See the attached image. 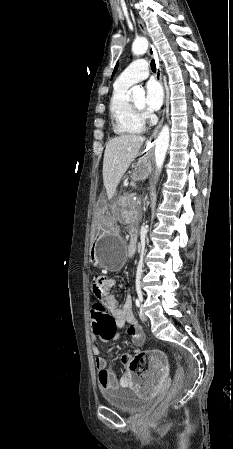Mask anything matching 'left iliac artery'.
I'll use <instances>...</instances> for the list:
<instances>
[{
    "label": "left iliac artery",
    "instance_id": "1",
    "mask_svg": "<svg viewBox=\"0 0 233 449\" xmlns=\"http://www.w3.org/2000/svg\"><path fill=\"white\" fill-rule=\"evenodd\" d=\"M137 293H138V299H136V305H137V307H139L140 303L143 300V297H142V292L141 291H138Z\"/></svg>",
    "mask_w": 233,
    "mask_h": 449
}]
</instances>
